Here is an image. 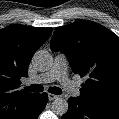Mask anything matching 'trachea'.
Instances as JSON below:
<instances>
[{"label": "trachea", "instance_id": "1", "mask_svg": "<svg viewBox=\"0 0 119 119\" xmlns=\"http://www.w3.org/2000/svg\"><path fill=\"white\" fill-rule=\"evenodd\" d=\"M25 90L29 92H42L43 91V86L40 84H33L29 87H25ZM48 91L52 94H62V90L59 87H50Z\"/></svg>", "mask_w": 119, "mask_h": 119}]
</instances>
